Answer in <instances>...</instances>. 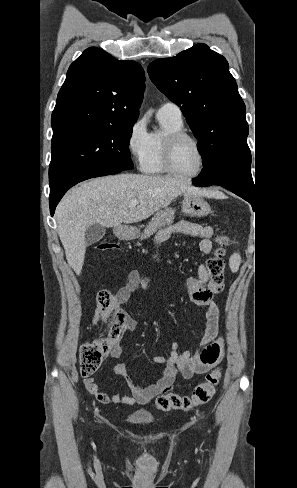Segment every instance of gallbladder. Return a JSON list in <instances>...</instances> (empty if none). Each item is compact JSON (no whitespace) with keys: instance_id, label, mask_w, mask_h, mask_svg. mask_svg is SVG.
I'll return each instance as SVG.
<instances>
[{"instance_id":"gallbladder-1","label":"gallbladder","mask_w":297,"mask_h":488,"mask_svg":"<svg viewBox=\"0 0 297 488\" xmlns=\"http://www.w3.org/2000/svg\"><path fill=\"white\" fill-rule=\"evenodd\" d=\"M106 234V227L100 224H94L89 226L85 231V243L86 245H92L101 240Z\"/></svg>"}]
</instances>
